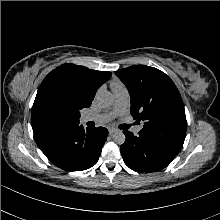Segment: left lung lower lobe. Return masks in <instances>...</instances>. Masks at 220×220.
Segmentation results:
<instances>
[{
    "mask_svg": "<svg viewBox=\"0 0 220 220\" xmlns=\"http://www.w3.org/2000/svg\"><path fill=\"white\" fill-rule=\"evenodd\" d=\"M125 142L121 154L126 165L137 172H155L168 166L178 152L141 133L134 136L124 131Z\"/></svg>",
    "mask_w": 220,
    "mask_h": 220,
    "instance_id": "left-lung-lower-lobe-1",
    "label": "left lung lower lobe"
}]
</instances>
